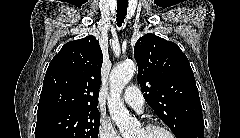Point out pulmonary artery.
<instances>
[{
  "instance_id": "obj_1",
  "label": "pulmonary artery",
  "mask_w": 240,
  "mask_h": 138,
  "mask_svg": "<svg viewBox=\"0 0 240 138\" xmlns=\"http://www.w3.org/2000/svg\"><path fill=\"white\" fill-rule=\"evenodd\" d=\"M124 101L133 109L141 111L144 106V98L136 86H129L124 94Z\"/></svg>"
}]
</instances>
